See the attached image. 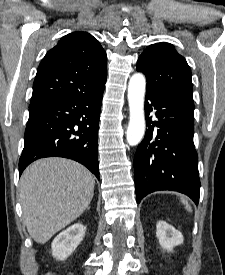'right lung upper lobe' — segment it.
I'll use <instances>...</instances> for the list:
<instances>
[{
	"instance_id": "right-lung-upper-lobe-1",
	"label": "right lung upper lobe",
	"mask_w": 225,
	"mask_h": 275,
	"mask_svg": "<svg viewBox=\"0 0 225 275\" xmlns=\"http://www.w3.org/2000/svg\"><path fill=\"white\" fill-rule=\"evenodd\" d=\"M106 59L102 46L89 33L65 35L47 52L38 67L30 107L94 92L106 78Z\"/></svg>"
}]
</instances>
